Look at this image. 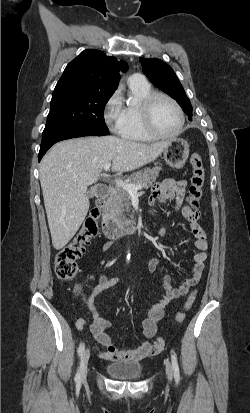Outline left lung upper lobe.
<instances>
[{"label": "left lung upper lobe", "instance_id": "obj_1", "mask_svg": "<svg viewBox=\"0 0 250 413\" xmlns=\"http://www.w3.org/2000/svg\"><path fill=\"white\" fill-rule=\"evenodd\" d=\"M142 70L148 79L159 89L174 98L192 120V106L173 69L158 59L140 58Z\"/></svg>", "mask_w": 250, "mask_h": 413}]
</instances>
